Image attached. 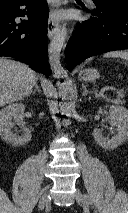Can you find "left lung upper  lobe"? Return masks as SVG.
<instances>
[{
  "label": "left lung upper lobe",
  "instance_id": "5c2ea615",
  "mask_svg": "<svg viewBox=\"0 0 128 213\" xmlns=\"http://www.w3.org/2000/svg\"><path fill=\"white\" fill-rule=\"evenodd\" d=\"M93 2H95L99 6H102L114 2L128 3V0H93Z\"/></svg>",
  "mask_w": 128,
  "mask_h": 213
}]
</instances>
